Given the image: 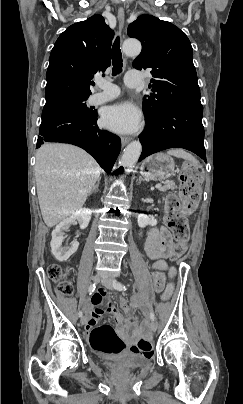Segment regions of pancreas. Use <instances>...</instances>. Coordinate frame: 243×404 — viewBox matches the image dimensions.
<instances>
[{
	"label": "pancreas",
	"mask_w": 243,
	"mask_h": 404,
	"mask_svg": "<svg viewBox=\"0 0 243 404\" xmlns=\"http://www.w3.org/2000/svg\"><path fill=\"white\" fill-rule=\"evenodd\" d=\"M177 186H175L174 182H168L165 184L163 188H159L160 192H167V190H176Z\"/></svg>",
	"instance_id": "cf45deb5"
}]
</instances>
